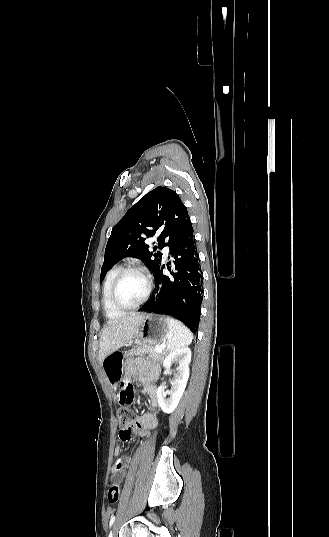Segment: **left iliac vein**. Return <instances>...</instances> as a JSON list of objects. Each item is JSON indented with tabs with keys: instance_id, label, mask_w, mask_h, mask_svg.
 <instances>
[{
	"instance_id": "left-iliac-vein-1",
	"label": "left iliac vein",
	"mask_w": 329,
	"mask_h": 537,
	"mask_svg": "<svg viewBox=\"0 0 329 537\" xmlns=\"http://www.w3.org/2000/svg\"><path fill=\"white\" fill-rule=\"evenodd\" d=\"M108 537H113V532L112 531L109 533Z\"/></svg>"
}]
</instances>
